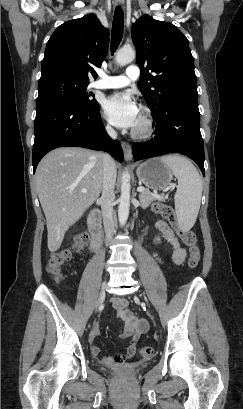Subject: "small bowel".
<instances>
[{"mask_svg": "<svg viewBox=\"0 0 243 409\" xmlns=\"http://www.w3.org/2000/svg\"><path fill=\"white\" fill-rule=\"evenodd\" d=\"M158 230L163 237L171 245L172 259L175 263H181L185 259V251L179 247L178 241L174 235L173 230L164 221H159L157 224ZM157 260L160 259L157 257ZM113 307L116 311V316L122 321V328L119 331V337L121 339H130V343L126 352L123 355L114 357H104L101 355L100 349L94 344L95 338L100 333V326L96 324L89 335V345L91 354L105 364H122L126 360L132 358L136 353V346L139 341L140 335L147 330V323L144 319L137 318L133 313L128 310L129 302L123 298H117L113 300Z\"/></svg>", "mask_w": 243, "mask_h": 409, "instance_id": "c3829d8e", "label": "small bowel"}]
</instances>
